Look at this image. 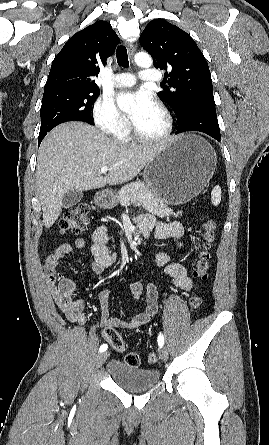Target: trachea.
Segmentation results:
<instances>
[{
	"label": "trachea",
	"instance_id": "3493384b",
	"mask_svg": "<svg viewBox=\"0 0 269 445\" xmlns=\"http://www.w3.org/2000/svg\"><path fill=\"white\" fill-rule=\"evenodd\" d=\"M116 57H117V63L119 66H122V67L129 66L127 49L125 46L120 45L117 47Z\"/></svg>",
	"mask_w": 269,
	"mask_h": 445
}]
</instances>
